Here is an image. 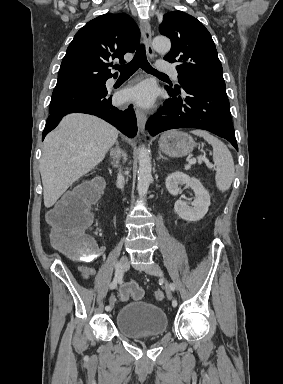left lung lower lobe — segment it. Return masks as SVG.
Listing matches in <instances>:
<instances>
[{
    "label": "left lung lower lobe",
    "instance_id": "obj_1",
    "mask_svg": "<svg viewBox=\"0 0 283 384\" xmlns=\"http://www.w3.org/2000/svg\"><path fill=\"white\" fill-rule=\"evenodd\" d=\"M180 88H167L172 99L151 116L146 128L151 136L176 128H198L227 139L238 150L225 87L181 82Z\"/></svg>",
    "mask_w": 283,
    "mask_h": 384
}]
</instances>
